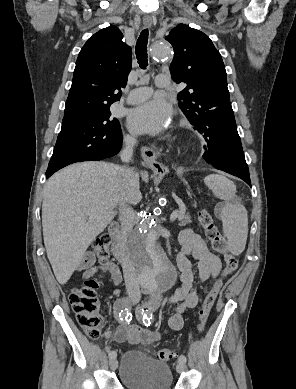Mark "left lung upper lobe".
Instances as JSON below:
<instances>
[{"instance_id":"5c2ea615","label":"left lung upper lobe","mask_w":296,"mask_h":389,"mask_svg":"<svg viewBox=\"0 0 296 389\" xmlns=\"http://www.w3.org/2000/svg\"><path fill=\"white\" fill-rule=\"evenodd\" d=\"M165 39L174 49L171 76L176 83L187 84L178 95L179 107L200 133L206 115L230 103L222 57L207 35L185 24L172 29Z\"/></svg>"}]
</instances>
